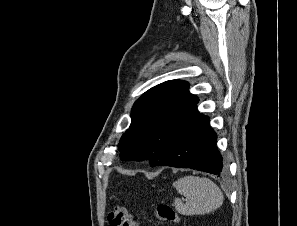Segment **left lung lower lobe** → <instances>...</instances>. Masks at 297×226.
Segmentation results:
<instances>
[{
    "mask_svg": "<svg viewBox=\"0 0 297 226\" xmlns=\"http://www.w3.org/2000/svg\"><path fill=\"white\" fill-rule=\"evenodd\" d=\"M216 137L209 117L199 113L196 107L156 165L191 168L223 177L225 168L216 147Z\"/></svg>",
    "mask_w": 297,
    "mask_h": 226,
    "instance_id": "1",
    "label": "left lung lower lobe"
}]
</instances>
